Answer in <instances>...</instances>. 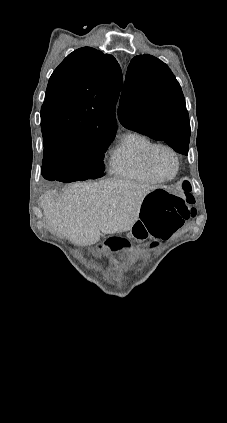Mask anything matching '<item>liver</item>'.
<instances>
[{
  "label": "liver",
  "instance_id": "1",
  "mask_svg": "<svg viewBox=\"0 0 227 423\" xmlns=\"http://www.w3.org/2000/svg\"><path fill=\"white\" fill-rule=\"evenodd\" d=\"M156 188L130 180L69 184L60 196L45 194L41 204L44 221L74 245H92L102 233L129 231L145 196Z\"/></svg>",
  "mask_w": 227,
  "mask_h": 423
}]
</instances>
